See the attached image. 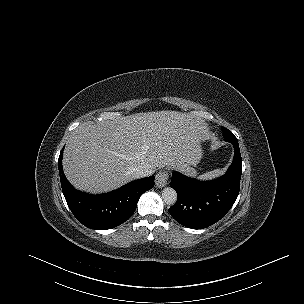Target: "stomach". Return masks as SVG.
<instances>
[{"label": "stomach", "instance_id": "1", "mask_svg": "<svg viewBox=\"0 0 304 304\" xmlns=\"http://www.w3.org/2000/svg\"><path fill=\"white\" fill-rule=\"evenodd\" d=\"M200 157H201V153H199V154L197 155V158L194 159V160L192 161V163L187 164L186 167H185L184 169H182V171H183L186 175H188V176H192V177L196 176L197 172H196V170L193 168V166L196 165V163L199 161Z\"/></svg>", "mask_w": 304, "mask_h": 304}]
</instances>
